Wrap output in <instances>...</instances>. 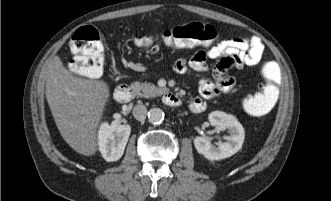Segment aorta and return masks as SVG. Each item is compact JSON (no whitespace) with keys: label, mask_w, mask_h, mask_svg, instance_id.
Returning <instances> with one entry per match:
<instances>
[{"label":"aorta","mask_w":331,"mask_h":201,"mask_svg":"<svg viewBox=\"0 0 331 201\" xmlns=\"http://www.w3.org/2000/svg\"><path fill=\"white\" fill-rule=\"evenodd\" d=\"M148 119L152 124H160L164 120V112L160 108H152L148 112Z\"/></svg>","instance_id":"aorta-1"}]
</instances>
